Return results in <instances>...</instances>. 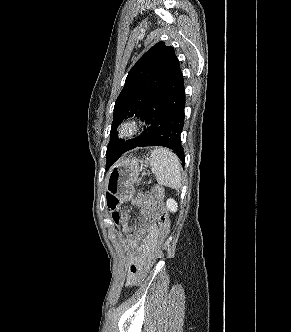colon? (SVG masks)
Returning a JSON list of instances; mask_svg holds the SVG:
<instances>
[{"label":"colon","instance_id":"colon-1","mask_svg":"<svg viewBox=\"0 0 291 332\" xmlns=\"http://www.w3.org/2000/svg\"><path fill=\"white\" fill-rule=\"evenodd\" d=\"M155 195L156 199L153 197ZM163 198V190L160 187H155L151 192H143L139 196V205L142 214L149 218L150 215H154L160 226V237L157 245L153 249L151 256L142 264L135 266L132 270L133 285H138L143 281L149 270L154 263L162 256V246H164L165 240L169 232V221L166 211L159 205V202ZM107 206L112 214L113 220L117 224H123L127 222L125 215L118 212V200L114 196H107Z\"/></svg>","mask_w":291,"mask_h":332}]
</instances>
